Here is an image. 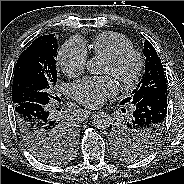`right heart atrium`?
Returning <instances> with one entry per match:
<instances>
[{"mask_svg": "<svg viewBox=\"0 0 184 184\" xmlns=\"http://www.w3.org/2000/svg\"><path fill=\"white\" fill-rule=\"evenodd\" d=\"M88 51L85 42L78 37L67 40L60 48L57 63L67 76L81 74L87 63Z\"/></svg>", "mask_w": 184, "mask_h": 184, "instance_id": "obj_1", "label": "right heart atrium"}]
</instances>
